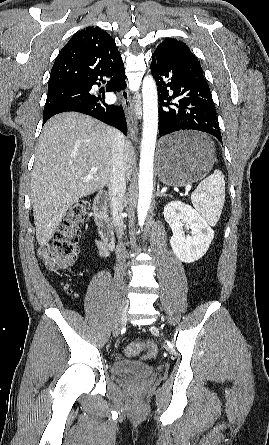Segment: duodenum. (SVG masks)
<instances>
[{
    "instance_id": "410a0bca",
    "label": "duodenum",
    "mask_w": 269,
    "mask_h": 445,
    "mask_svg": "<svg viewBox=\"0 0 269 445\" xmlns=\"http://www.w3.org/2000/svg\"><path fill=\"white\" fill-rule=\"evenodd\" d=\"M107 203L108 193L98 192L93 202V216L104 245L112 250L115 247V235L107 215Z\"/></svg>"
}]
</instances>
